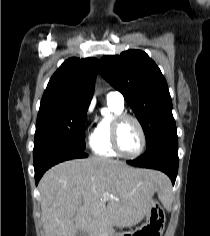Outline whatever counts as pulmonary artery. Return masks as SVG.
<instances>
[{
  "instance_id": "1",
  "label": "pulmonary artery",
  "mask_w": 210,
  "mask_h": 236,
  "mask_svg": "<svg viewBox=\"0 0 210 236\" xmlns=\"http://www.w3.org/2000/svg\"><path fill=\"white\" fill-rule=\"evenodd\" d=\"M107 101H110L118 106H124V97L119 91H111L107 95Z\"/></svg>"
}]
</instances>
